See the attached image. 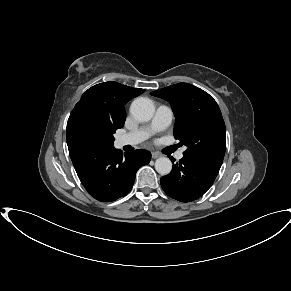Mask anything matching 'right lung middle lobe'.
I'll return each mask as SVG.
<instances>
[{"label":"right lung middle lobe","instance_id":"1","mask_svg":"<svg viewBox=\"0 0 291 291\" xmlns=\"http://www.w3.org/2000/svg\"><path fill=\"white\" fill-rule=\"evenodd\" d=\"M123 123L92 111L71 113L67 122L66 137L91 140L100 145L114 146L113 134Z\"/></svg>","mask_w":291,"mask_h":291}]
</instances>
